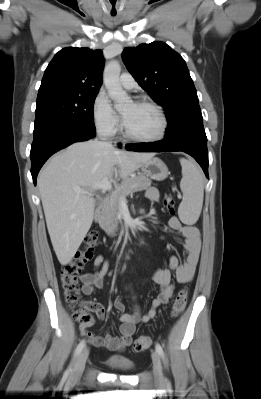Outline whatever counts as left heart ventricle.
Wrapping results in <instances>:
<instances>
[{
    "label": "left heart ventricle",
    "mask_w": 261,
    "mask_h": 399,
    "mask_svg": "<svg viewBox=\"0 0 261 399\" xmlns=\"http://www.w3.org/2000/svg\"><path fill=\"white\" fill-rule=\"evenodd\" d=\"M122 115L127 128L136 136L151 137L161 128L159 115L148 106L131 102L122 109Z\"/></svg>",
    "instance_id": "obj_1"
}]
</instances>
